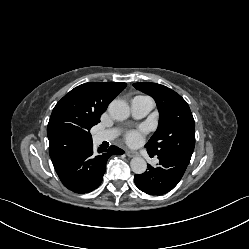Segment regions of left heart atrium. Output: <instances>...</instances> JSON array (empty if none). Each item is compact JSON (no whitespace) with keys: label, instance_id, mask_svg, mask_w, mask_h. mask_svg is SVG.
<instances>
[{"label":"left heart atrium","instance_id":"left-heart-atrium-1","mask_svg":"<svg viewBox=\"0 0 249 249\" xmlns=\"http://www.w3.org/2000/svg\"><path fill=\"white\" fill-rule=\"evenodd\" d=\"M142 138H143L142 130L129 131L125 136V139L129 144H137L142 140Z\"/></svg>","mask_w":249,"mask_h":249}]
</instances>
